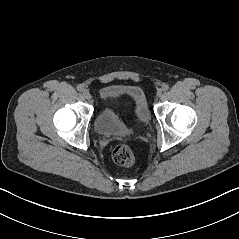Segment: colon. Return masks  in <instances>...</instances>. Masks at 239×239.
I'll list each match as a JSON object with an SVG mask.
<instances>
[{
    "instance_id": "5ec220e1",
    "label": "colon",
    "mask_w": 239,
    "mask_h": 239,
    "mask_svg": "<svg viewBox=\"0 0 239 239\" xmlns=\"http://www.w3.org/2000/svg\"><path fill=\"white\" fill-rule=\"evenodd\" d=\"M114 162L120 166H131L135 161V156L130 147L124 144L116 145L112 150Z\"/></svg>"
}]
</instances>
